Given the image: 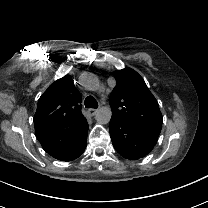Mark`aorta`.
<instances>
[{"instance_id":"1","label":"aorta","mask_w":208,"mask_h":208,"mask_svg":"<svg viewBox=\"0 0 208 208\" xmlns=\"http://www.w3.org/2000/svg\"><path fill=\"white\" fill-rule=\"evenodd\" d=\"M112 116L110 107L102 106L95 111V119L99 124L109 123Z\"/></svg>"}]
</instances>
